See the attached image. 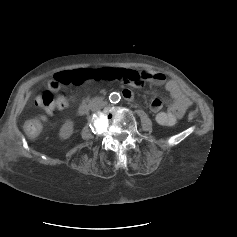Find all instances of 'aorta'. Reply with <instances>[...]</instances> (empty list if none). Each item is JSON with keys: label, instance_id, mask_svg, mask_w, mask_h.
I'll return each mask as SVG.
<instances>
[{"label": "aorta", "instance_id": "1", "mask_svg": "<svg viewBox=\"0 0 237 237\" xmlns=\"http://www.w3.org/2000/svg\"><path fill=\"white\" fill-rule=\"evenodd\" d=\"M121 99V96L117 92H112L109 96V100L111 103H118Z\"/></svg>", "mask_w": 237, "mask_h": 237}]
</instances>
